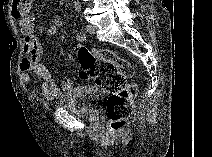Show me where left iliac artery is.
Returning a JSON list of instances; mask_svg holds the SVG:
<instances>
[{
	"mask_svg": "<svg viewBox=\"0 0 212 157\" xmlns=\"http://www.w3.org/2000/svg\"><path fill=\"white\" fill-rule=\"evenodd\" d=\"M84 39H85V34H84V32H79V33L77 34V40L83 41Z\"/></svg>",
	"mask_w": 212,
	"mask_h": 157,
	"instance_id": "obj_1",
	"label": "left iliac artery"
}]
</instances>
